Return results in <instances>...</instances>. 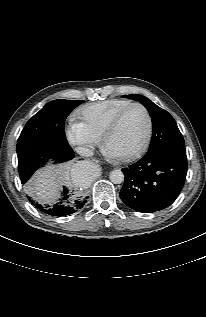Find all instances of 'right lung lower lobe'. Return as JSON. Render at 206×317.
I'll return each instance as SVG.
<instances>
[{
  "label": "right lung lower lobe",
  "mask_w": 206,
  "mask_h": 317,
  "mask_svg": "<svg viewBox=\"0 0 206 317\" xmlns=\"http://www.w3.org/2000/svg\"><path fill=\"white\" fill-rule=\"evenodd\" d=\"M57 161L58 162H64L67 160H70L74 157V152L67 144L64 147H60L57 149ZM88 197H85L79 192H72L68 188L64 187L62 197L59 199V201L51 208V207H45L34 200H32L30 197H28L29 201L39 210L42 212L52 215V216H66L70 215L72 213L77 212L79 209H81L85 203L87 202Z\"/></svg>",
  "instance_id": "1"
}]
</instances>
